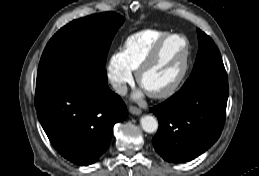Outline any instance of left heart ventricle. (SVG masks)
<instances>
[{"label":"left heart ventricle","instance_id":"obj_1","mask_svg":"<svg viewBox=\"0 0 259 176\" xmlns=\"http://www.w3.org/2000/svg\"><path fill=\"white\" fill-rule=\"evenodd\" d=\"M184 50L181 38L168 40L158 59L143 75L142 87L146 91H158L171 84L181 70Z\"/></svg>","mask_w":259,"mask_h":176}]
</instances>
